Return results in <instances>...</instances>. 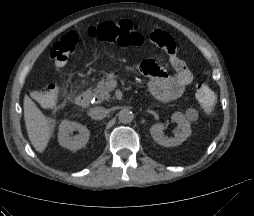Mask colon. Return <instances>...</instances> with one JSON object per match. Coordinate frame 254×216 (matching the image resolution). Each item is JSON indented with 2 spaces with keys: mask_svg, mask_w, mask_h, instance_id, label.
Instances as JSON below:
<instances>
[{
  "mask_svg": "<svg viewBox=\"0 0 254 216\" xmlns=\"http://www.w3.org/2000/svg\"><path fill=\"white\" fill-rule=\"evenodd\" d=\"M88 34L93 38L120 46L141 45L145 42L140 28L130 21L103 22L92 26ZM80 36L79 32L71 31L54 43L50 59L56 69L63 68L70 56L75 53ZM195 96L203 112L206 115H212L216 107V95L207 82L196 83ZM58 97L59 90L55 84H50L34 94V98L47 108L55 106Z\"/></svg>",
  "mask_w": 254,
  "mask_h": 216,
  "instance_id": "obj_1",
  "label": "colon"
}]
</instances>
